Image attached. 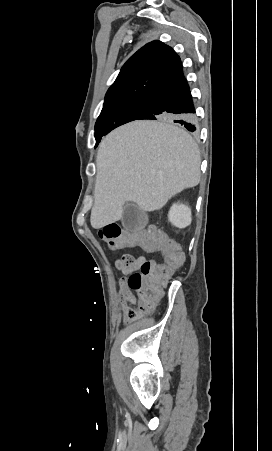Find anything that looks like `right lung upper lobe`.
<instances>
[{
  "mask_svg": "<svg viewBox=\"0 0 272 451\" xmlns=\"http://www.w3.org/2000/svg\"><path fill=\"white\" fill-rule=\"evenodd\" d=\"M181 71L182 64L174 50L160 41H152L139 49L123 65L117 79L106 93L105 103L151 97Z\"/></svg>",
  "mask_w": 272,
  "mask_h": 451,
  "instance_id": "obj_1",
  "label": "right lung upper lobe"
}]
</instances>
